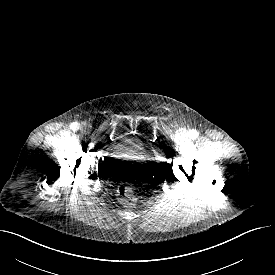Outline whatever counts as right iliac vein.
<instances>
[{
	"label": "right iliac vein",
	"instance_id": "obj_1",
	"mask_svg": "<svg viewBox=\"0 0 275 275\" xmlns=\"http://www.w3.org/2000/svg\"><path fill=\"white\" fill-rule=\"evenodd\" d=\"M88 127V125L87 124H84L81 128L82 129H86Z\"/></svg>",
	"mask_w": 275,
	"mask_h": 275
}]
</instances>
